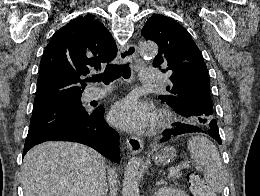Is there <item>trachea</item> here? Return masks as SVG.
Segmentation results:
<instances>
[{
	"label": "trachea",
	"instance_id": "3493384b",
	"mask_svg": "<svg viewBox=\"0 0 260 196\" xmlns=\"http://www.w3.org/2000/svg\"><path fill=\"white\" fill-rule=\"evenodd\" d=\"M130 75L131 70L127 63L125 65L109 64L103 73L91 76L89 81H103L105 85H109L111 81L117 80L121 76L127 79L130 78Z\"/></svg>",
	"mask_w": 260,
	"mask_h": 196
}]
</instances>
